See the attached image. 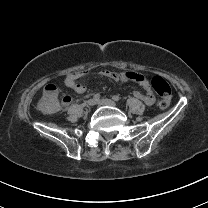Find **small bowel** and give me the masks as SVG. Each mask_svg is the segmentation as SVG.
<instances>
[{"label":"small bowel","mask_w":208,"mask_h":208,"mask_svg":"<svg viewBox=\"0 0 208 208\" xmlns=\"http://www.w3.org/2000/svg\"><path fill=\"white\" fill-rule=\"evenodd\" d=\"M102 76L108 78V79H112L115 81H134L137 82L142 89L144 90V92H139L136 91L134 92V96L142 101H144L147 105H152L155 101V97L150 89V85L149 82L147 81V79L141 75V74H137V73H133V72H116L113 70H103L101 72ZM87 75L86 71H79V72H74L71 73L69 75L66 76L65 78V84L71 88L72 90H74L77 93H83L85 91V86L83 84H81L79 82L80 79L84 78ZM51 87H54L53 85H48ZM47 86V87H48ZM71 97V94L69 92L65 93V97H64V101L62 102V107L66 108L68 101Z\"/></svg>","instance_id":"c3829d8e"}]
</instances>
